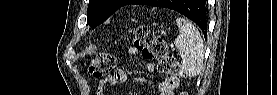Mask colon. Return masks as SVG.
Returning a JSON list of instances; mask_svg holds the SVG:
<instances>
[{"instance_id":"obj_1","label":"colon","mask_w":277,"mask_h":95,"mask_svg":"<svg viewBox=\"0 0 277 95\" xmlns=\"http://www.w3.org/2000/svg\"><path fill=\"white\" fill-rule=\"evenodd\" d=\"M132 45L148 59H155L159 63L160 71L167 74H181V66L175 56L169 51L164 39L157 36L153 30L138 26L131 31ZM117 65L115 55L101 52L95 55L89 66V73L94 78L106 76Z\"/></svg>"}]
</instances>
